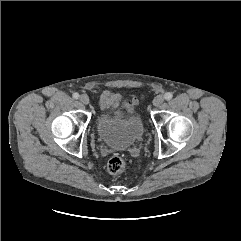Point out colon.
Segmentation results:
<instances>
[{
	"instance_id": "1",
	"label": "colon",
	"mask_w": 241,
	"mask_h": 241,
	"mask_svg": "<svg viewBox=\"0 0 241 241\" xmlns=\"http://www.w3.org/2000/svg\"><path fill=\"white\" fill-rule=\"evenodd\" d=\"M126 168V161L120 156H113L107 163V170L110 174L122 173Z\"/></svg>"
}]
</instances>
